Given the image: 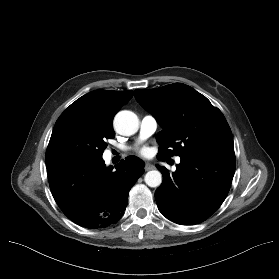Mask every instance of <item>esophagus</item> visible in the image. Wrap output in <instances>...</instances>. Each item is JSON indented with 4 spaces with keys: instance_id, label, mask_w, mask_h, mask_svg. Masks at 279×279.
Returning a JSON list of instances; mask_svg holds the SVG:
<instances>
[{
    "instance_id": "obj_1",
    "label": "esophagus",
    "mask_w": 279,
    "mask_h": 279,
    "mask_svg": "<svg viewBox=\"0 0 279 279\" xmlns=\"http://www.w3.org/2000/svg\"><path fill=\"white\" fill-rule=\"evenodd\" d=\"M144 169H145V171H149V170L154 169V166L150 163H146Z\"/></svg>"
}]
</instances>
